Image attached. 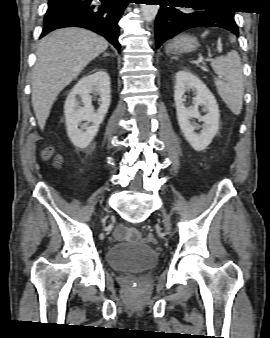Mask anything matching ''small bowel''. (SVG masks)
<instances>
[{
    "instance_id": "1",
    "label": "small bowel",
    "mask_w": 270,
    "mask_h": 338,
    "mask_svg": "<svg viewBox=\"0 0 270 338\" xmlns=\"http://www.w3.org/2000/svg\"><path fill=\"white\" fill-rule=\"evenodd\" d=\"M116 235L120 238L137 239V231L134 228L120 227L116 230Z\"/></svg>"
}]
</instances>
